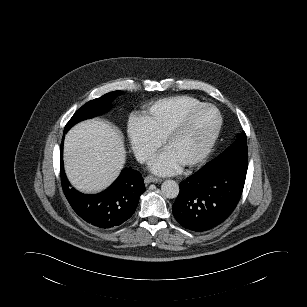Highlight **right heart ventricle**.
<instances>
[{
	"label": "right heart ventricle",
	"mask_w": 307,
	"mask_h": 307,
	"mask_svg": "<svg viewBox=\"0 0 307 307\" xmlns=\"http://www.w3.org/2000/svg\"><path fill=\"white\" fill-rule=\"evenodd\" d=\"M198 103L201 102L189 95L163 98L150 104L144 111L142 119L152 134L159 140H163L179 117L188 108Z\"/></svg>",
	"instance_id": "right-heart-ventricle-1"
}]
</instances>
